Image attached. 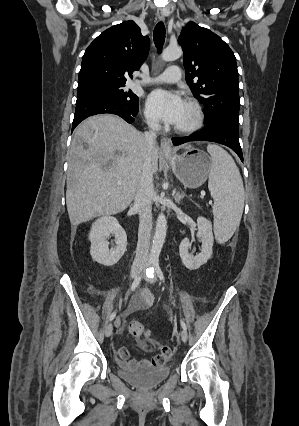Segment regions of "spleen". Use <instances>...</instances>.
I'll use <instances>...</instances> for the list:
<instances>
[{
  "mask_svg": "<svg viewBox=\"0 0 299 426\" xmlns=\"http://www.w3.org/2000/svg\"><path fill=\"white\" fill-rule=\"evenodd\" d=\"M212 168L208 188L214 199V232L220 243L232 237L244 208L243 181L233 158L218 145H208Z\"/></svg>",
  "mask_w": 299,
  "mask_h": 426,
  "instance_id": "3e777b00",
  "label": "spleen"
}]
</instances>
